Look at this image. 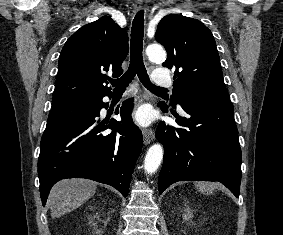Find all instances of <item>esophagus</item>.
<instances>
[{
	"label": "esophagus",
	"mask_w": 283,
	"mask_h": 235,
	"mask_svg": "<svg viewBox=\"0 0 283 235\" xmlns=\"http://www.w3.org/2000/svg\"><path fill=\"white\" fill-rule=\"evenodd\" d=\"M134 8L136 11L142 10L144 8V4L140 1L134 4ZM155 137V133L152 129H144L143 130V139L146 145L150 144Z\"/></svg>",
	"instance_id": "esophagus-1"
}]
</instances>
